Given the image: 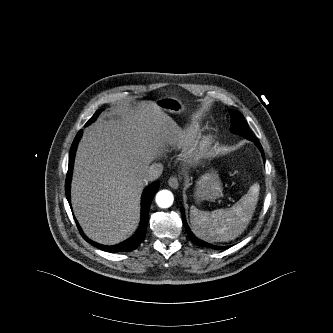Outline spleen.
Segmentation results:
<instances>
[{
    "mask_svg": "<svg viewBox=\"0 0 333 333\" xmlns=\"http://www.w3.org/2000/svg\"><path fill=\"white\" fill-rule=\"evenodd\" d=\"M258 194L259 185L256 183L230 208L206 212L191 206L190 222L193 233L208 242L234 240L244 232L251 221Z\"/></svg>",
    "mask_w": 333,
    "mask_h": 333,
    "instance_id": "1",
    "label": "spleen"
}]
</instances>
